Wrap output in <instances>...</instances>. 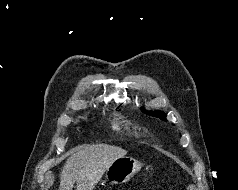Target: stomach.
Listing matches in <instances>:
<instances>
[{"mask_svg":"<svg viewBox=\"0 0 238 190\" xmlns=\"http://www.w3.org/2000/svg\"><path fill=\"white\" fill-rule=\"evenodd\" d=\"M142 164L128 156L115 160L106 170V179L112 184L128 182L138 171Z\"/></svg>","mask_w":238,"mask_h":190,"instance_id":"1","label":"stomach"}]
</instances>
